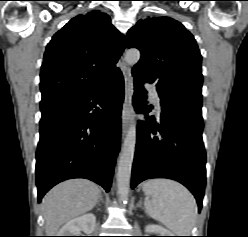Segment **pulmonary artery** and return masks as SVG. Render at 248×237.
<instances>
[{"label":"pulmonary artery","mask_w":248,"mask_h":237,"mask_svg":"<svg viewBox=\"0 0 248 237\" xmlns=\"http://www.w3.org/2000/svg\"><path fill=\"white\" fill-rule=\"evenodd\" d=\"M147 88L153 92V96H154V98H156L157 93H156L155 89L150 85H147ZM155 105L158 109L160 108V104H159V101L157 99L155 100Z\"/></svg>","instance_id":"1"}]
</instances>
